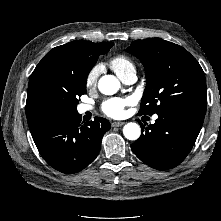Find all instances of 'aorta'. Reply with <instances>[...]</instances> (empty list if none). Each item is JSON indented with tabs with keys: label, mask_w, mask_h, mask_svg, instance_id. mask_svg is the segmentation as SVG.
I'll list each match as a JSON object with an SVG mask.
<instances>
[{
	"label": "aorta",
	"mask_w": 221,
	"mask_h": 221,
	"mask_svg": "<svg viewBox=\"0 0 221 221\" xmlns=\"http://www.w3.org/2000/svg\"><path fill=\"white\" fill-rule=\"evenodd\" d=\"M120 88V82L113 75H105L99 79L98 89L105 95H113ZM123 134L128 140H137L141 135V128L137 123L130 122L123 127Z\"/></svg>",
	"instance_id": "aorta-1"
}]
</instances>
